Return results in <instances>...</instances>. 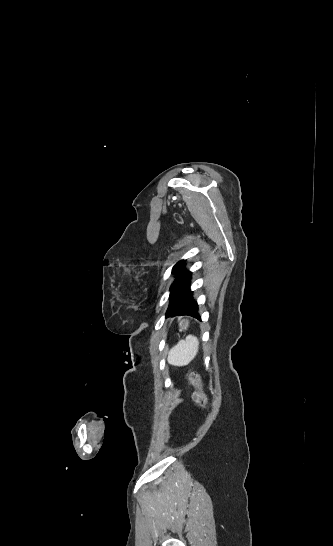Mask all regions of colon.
Listing matches in <instances>:
<instances>
[{"label": "colon", "instance_id": "colon-1", "mask_svg": "<svg viewBox=\"0 0 333 546\" xmlns=\"http://www.w3.org/2000/svg\"><path fill=\"white\" fill-rule=\"evenodd\" d=\"M188 380L195 386V392L193 395L194 402L203 409H207L208 399L203 389L200 376L196 372H190L188 374Z\"/></svg>", "mask_w": 333, "mask_h": 546}]
</instances>
